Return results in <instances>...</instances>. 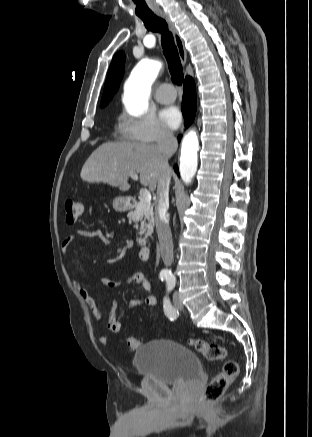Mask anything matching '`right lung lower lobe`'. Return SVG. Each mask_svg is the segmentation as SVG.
Segmentation results:
<instances>
[{
    "label": "right lung lower lobe",
    "instance_id": "1",
    "mask_svg": "<svg viewBox=\"0 0 312 437\" xmlns=\"http://www.w3.org/2000/svg\"><path fill=\"white\" fill-rule=\"evenodd\" d=\"M196 88L195 82L191 77H186L184 82V95L182 101V112L185 118V126L188 127L194 120L196 113ZM181 137H178L180 141ZM175 172L178 173V166L174 165Z\"/></svg>",
    "mask_w": 312,
    "mask_h": 437
}]
</instances>
